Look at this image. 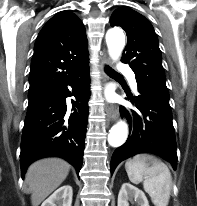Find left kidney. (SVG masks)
I'll use <instances>...</instances> for the list:
<instances>
[{"instance_id": "left-kidney-1", "label": "left kidney", "mask_w": 197, "mask_h": 206, "mask_svg": "<svg viewBox=\"0 0 197 206\" xmlns=\"http://www.w3.org/2000/svg\"><path fill=\"white\" fill-rule=\"evenodd\" d=\"M135 200L138 206H149L145 193L130 183H123L118 194V206H129L128 201Z\"/></svg>"}]
</instances>
